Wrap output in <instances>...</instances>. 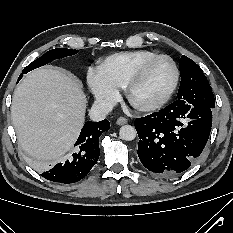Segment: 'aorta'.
<instances>
[{
    "label": "aorta",
    "mask_w": 233,
    "mask_h": 233,
    "mask_svg": "<svg viewBox=\"0 0 233 233\" xmlns=\"http://www.w3.org/2000/svg\"><path fill=\"white\" fill-rule=\"evenodd\" d=\"M119 135L121 139L126 140V141H131L135 139L137 132L133 126L124 125L120 128Z\"/></svg>",
    "instance_id": "obj_1"
}]
</instances>
